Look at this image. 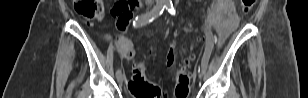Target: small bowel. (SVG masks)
Listing matches in <instances>:
<instances>
[{
  "label": "small bowel",
  "instance_id": "obj_1",
  "mask_svg": "<svg viewBox=\"0 0 308 98\" xmlns=\"http://www.w3.org/2000/svg\"><path fill=\"white\" fill-rule=\"evenodd\" d=\"M141 6H142L141 2L136 1L133 5V9H139V8H141ZM214 27L217 29V31L219 33V44H222L226 40V38L229 34V29L224 28L217 23H214Z\"/></svg>",
  "mask_w": 308,
  "mask_h": 98
}]
</instances>
